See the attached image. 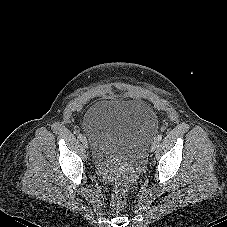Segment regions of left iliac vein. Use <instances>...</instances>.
<instances>
[{"instance_id":"left-iliac-vein-1","label":"left iliac vein","mask_w":227,"mask_h":227,"mask_svg":"<svg viewBox=\"0 0 227 227\" xmlns=\"http://www.w3.org/2000/svg\"><path fill=\"white\" fill-rule=\"evenodd\" d=\"M158 146H159L158 140H154L151 145V150L155 151L158 148Z\"/></svg>"}]
</instances>
